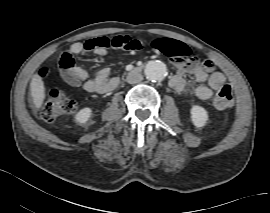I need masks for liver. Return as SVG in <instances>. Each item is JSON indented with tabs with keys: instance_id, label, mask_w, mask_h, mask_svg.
Listing matches in <instances>:
<instances>
[{
	"instance_id": "1",
	"label": "liver",
	"mask_w": 270,
	"mask_h": 213,
	"mask_svg": "<svg viewBox=\"0 0 270 213\" xmlns=\"http://www.w3.org/2000/svg\"><path fill=\"white\" fill-rule=\"evenodd\" d=\"M30 89L33 103L37 109H40L45 100V86L40 76H33L30 83Z\"/></svg>"
}]
</instances>
